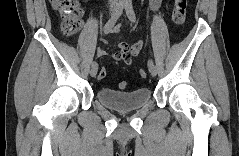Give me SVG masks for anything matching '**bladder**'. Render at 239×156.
Instances as JSON below:
<instances>
[{"mask_svg":"<svg viewBox=\"0 0 239 156\" xmlns=\"http://www.w3.org/2000/svg\"><path fill=\"white\" fill-rule=\"evenodd\" d=\"M97 100L105 107L119 112L141 109L151 99L148 88H139L132 92H122L111 88H99L96 91Z\"/></svg>","mask_w":239,"mask_h":156,"instance_id":"obj_1","label":"bladder"}]
</instances>
